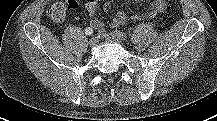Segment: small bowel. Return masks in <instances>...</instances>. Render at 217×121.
<instances>
[{"mask_svg":"<svg viewBox=\"0 0 217 121\" xmlns=\"http://www.w3.org/2000/svg\"><path fill=\"white\" fill-rule=\"evenodd\" d=\"M101 0H88L86 2L85 8L89 16L92 18L90 21V26L97 30L98 32L103 33L104 32V24L102 21L97 19L95 17L96 11H97V5ZM69 6L71 8H76L78 6L77 0H69L68 2ZM152 8L147 12L145 15L146 18H154L159 12L163 11L166 8V1L165 0H152ZM104 8L108 10L110 8V4L106 2L104 4ZM133 20H139L141 19L140 15H133ZM128 21V17L125 12L118 11L112 20L110 21L111 27H118L120 25L125 24Z\"/></svg>","mask_w":217,"mask_h":121,"instance_id":"obj_1","label":"small bowel"}]
</instances>
